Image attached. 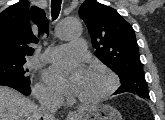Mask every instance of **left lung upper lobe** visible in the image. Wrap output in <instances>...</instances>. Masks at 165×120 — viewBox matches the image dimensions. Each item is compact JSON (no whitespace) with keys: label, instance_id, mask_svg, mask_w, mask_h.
<instances>
[{"label":"left lung upper lobe","instance_id":"1","mask_svg":"<svg viewBox=\"0 0 165 120\" xmlns=\"http://www.w3.org/2000/svg\"><path fill=\"white\" fill-rule=\"evenodd\" d=\"M79 16L89 30L95 55L120 78L122 85L115 94L131 92L149 99L135 33L130 24L115 9L91 0L81 5Z\"/></svg>","mask_w":165,"mask_h":120}]
</instances>
